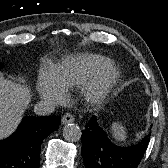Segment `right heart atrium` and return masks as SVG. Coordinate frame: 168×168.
<instances>
[{
  "instance_id": "1",
  "label": "right heart atrium",
  "mask_w": 168,
  "mask_h": 168,
  "mask_svg": "<svg viewBox=\"0 0 168 168\" xmlns=\"http://www.w3.org/2000/svg\"><path fill=\"white\" fill-rule=\"evenodd\" d=\"M38 91L44 100L52 103L59 102L64 97V90L46 72L41 73L39 76Z\"/></svg>"
}]
</instances>
